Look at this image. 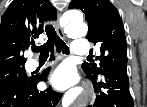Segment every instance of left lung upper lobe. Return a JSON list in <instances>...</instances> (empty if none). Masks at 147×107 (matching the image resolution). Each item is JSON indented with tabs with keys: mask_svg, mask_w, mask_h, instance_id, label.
I'll use <instances>...</instances> for the list:
<instances>
[{
	"mask_svg": "<svg viewBox=\"0 0 147 107\" xmlns=\"http://www.w3.org/2000/svg\"><path fill=\"white\" fill-rule=\"evenodd\" d=\"M80 9L88 20L86 39L98 45L101 55L99 64L83 63V70L97 76L106 67L127 64V49L124 26L119 12L109 0H72L69 9Z\"/></svg>",
	"mask_w": 147,
	"mask_h": 107,
	"instance_id": "obj_1",
	"label": "left lung upper lobe"
}]
</instances>
